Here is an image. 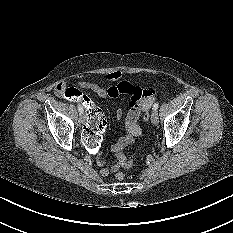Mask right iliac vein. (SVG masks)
<instances>
[{
  "instance_id": "63e3f726",
  "label": "right iliac vein",
  "mask_w": 233,
  "mask_h": 233,
  "mask_svg": "<svg viewBox=\"0 0 233 233\" xmlns=\"http://www.w3.org/2000/svg\"><path fill=\"white\" fill-rule=\"evenodd\" d=\"M85 120H86L85 114L84 113H80L79 120H78L79 123L83 124L85 122Z\"/></svg>"
}]
</instances>
